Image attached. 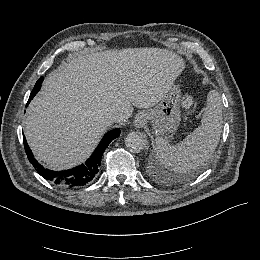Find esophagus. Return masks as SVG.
Wrapping results in <instances>:
<instances>
[{"label":"esophagus","instance_id":"34e87169","mask_svg":"<svg viewBox=\"0 0 260 260\" xmlns=\"http://www.w3.org/2000/svg\"><path fill=\"white\" fill-rule=\"evenodd\" d=\"M134 122L137 124V125H140V126H143L146 122V115L144 113H141V114H138L136 117H135V120Z\"/></svg>","mask_w":260,"mask_h":260}]
</instances>
